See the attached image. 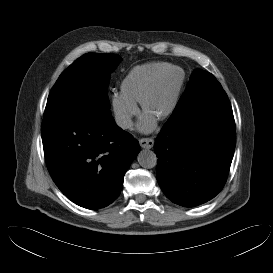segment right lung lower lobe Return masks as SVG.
<instances>
[{"instance_id":"right-lung-lower-lobe-1","label":"right lung lower lobe","mask_w":273,"mask_h":273,"mask_svg":"<svg viewBox=\"0 0 273 273\" xmlns=\"http://www.w3.org/2000/svg\"><path fill=\"white\" fill-rule=\"evenodd\" d=\"M41 135L55 184L72 202L92 210L117 199L139 153L138 141L116 125L108 108L97 105L56 108L44 116Z\"/></svg>"}]
</instances>
